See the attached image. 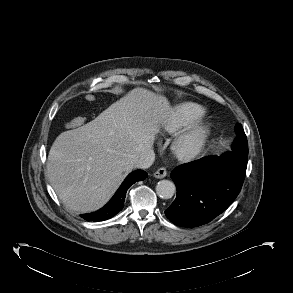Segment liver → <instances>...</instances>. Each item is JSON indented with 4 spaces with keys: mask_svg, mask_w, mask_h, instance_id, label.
<instances>
[{
    "mask_svg": "<svg viewBox=\"0 0 293 293\" xmlns=\"http://www.w3.org/2000/svg\"><path fill=\"white\" fill-rule=\"evenodd\" d=\"M166 97L137 87L94 120L61 133L47 161V177L64 206L87 213L104 206L133 162L151 150L170 113Z\"/></svg>",
    "mask_w": 293,
    "mask_h": 293,
    "instance_id": "liver-1",
    "label": "liver"
}]
</instances>
